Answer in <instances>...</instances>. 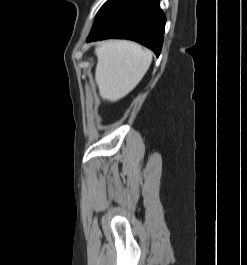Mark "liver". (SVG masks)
Returning a JSON list of instances; mask_svg holds the SVG:
<instances>
[{
  "instance_id": "liver-1",
  "label": "liver",
  "mask_w": 247,
  "mask_h": 265,
  "mask_svg": "<svg viewBox=\"0 0 247 265\" xmlns=\"http://www.w3.org/2000/svg\"><path fill=\"white\" fill-rule=\"evenodd\" d=\"M95 81L104 100L115 102L125 97L141 81L152 62L153 53L132 41L111 40L95 49Z\"/></svg>"
}]
</instances>
